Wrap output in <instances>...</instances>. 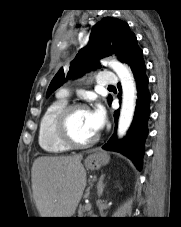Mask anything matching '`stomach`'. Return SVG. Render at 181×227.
Instances as JSON below:
<instances>
[{
    "label": "stomach",
    "instance_id": "0dacf381",
    "mask_svg": "<svg viewBox=\"0 0 181 227\" xmlns=\"http://www.w3.org/2000/svg\"><path fill=\"white\" fill-rule=\"evenodd\" d=\"M109 162L108 154L95 151L92 154L88 155L85 159V166L88 170H98L101 166L106 165Z\"/></svg>",
    "mask_w": 181,
    "mask_h": 227
}]
</instances>
